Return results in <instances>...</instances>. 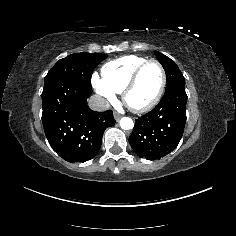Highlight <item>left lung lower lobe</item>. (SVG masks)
Instances as JSON below:
<instances>
[{"mask_svg": "<svg viewBox=\"0 0 236 236\" xmlns=\"http://www.w3.org/2000/svg\"><path fill=\"white\" fill-rule=\"evenodd\" d=\"M186 102L185 87L171 88L152 111L136 119L129 143L138 156L160 159L177 147L186 123Z\"/></svg>", "mask_w": 236, "mask_h": 236, "instance_id": "1", "label": "left lung lower lobe"}]
</instances>
